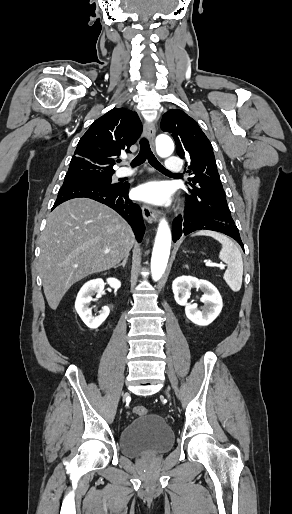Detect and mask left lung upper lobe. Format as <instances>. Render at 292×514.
Wrapping results in <instances>:
<instances>
[{
  "label": "left lung upper lobe",
  "instance_id": "5c2ea615",
  "mask_svg": "<svg viewBox=\"0 0 292 514\" xmlns=\"http://www.w3.org/2000/svg\"><path fill=\"white\" fill-rule=\"evenodd\" d=\"M161 129L171 134L177 155L187 160L190 188L186 197L201 201L208 209L230 212L211 142L198 123L182 110H169L163 115Z\"/></svg>",
  "mask_w": 292,
  "mask_h": 514
}]
</instances>
